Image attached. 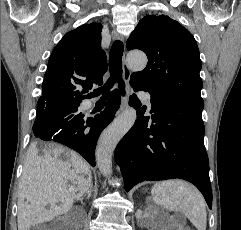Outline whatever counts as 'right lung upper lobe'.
<instances>
[{
  "label": "right lung upper lobe",
  "instance_id": "obj_1",
  "mask_svg": "<svg viewBox=\"0 0 241 230\" xmlns=\"http://www.w3.org/2000/svg\"><path fill=\"white\" fill-rule=\"evenodd\" d=\"M102 25L84 24L64 35L48 61L37 105L80 103L92 86L103 84L107 59L101 48Z\"/></svg>",
  "mask_w": 241,
  "mask_h": 230
}]
</instances>
